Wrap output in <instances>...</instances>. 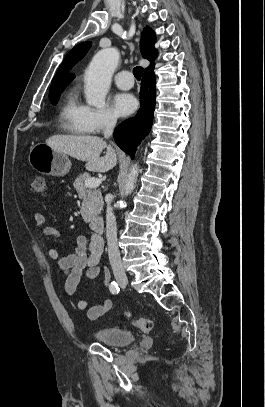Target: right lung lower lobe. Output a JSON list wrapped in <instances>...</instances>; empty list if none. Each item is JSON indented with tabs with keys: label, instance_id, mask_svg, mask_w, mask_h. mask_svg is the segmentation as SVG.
<instances>
[{
	"label": "right lung lower lobe",
	"instance_id": "obj_1",
	"mask_svg": "<svg viewBox=\"0 0 265 407\" xmlns=\"http://www.w3.org/2000/svg\"><path fill=\"white\" fill-rule=\"evenodd\" d=\"M156 81L154 64L147 68L141 81L140 102L141 107L134 118H130L114 131V140L117 145L132 158L138 145L149 133L155 107Z\"/></svg>",
	"mask_w": 265,
	"mask_h": 407
}]
</instances>
